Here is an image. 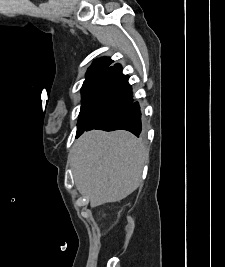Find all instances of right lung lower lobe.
<instances>
[{
	"instance_id": "98d812e1",
	"label": "right lung lower lobe",
	"mask_w": 225,
	"mask_h": 267,
	"mask_svg": "<svg viewBox=\"0 0 225 267\" xmlns=\"http://www.w3.org/2000/svg\"><path fill=\"white\" fill-rule=\"evenodd\" d=\"M129 76L120 64L108 67L90 86L79 114L76 138L84 131L127 130L142 135L141 111L133 100Z\"/></svg>"
}]
</instances>
